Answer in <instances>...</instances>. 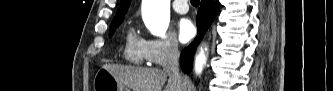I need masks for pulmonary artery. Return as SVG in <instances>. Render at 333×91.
I'll list each match as a JSON object with an SVG mask.
<instances>
[{
	"label": "pulmonary artery",
	"instance_id": "e3ab8cb5",
	"mask_svg": "<svg viewBox=\"0 0 333 91\" xmlns=\"http://www.w3.org/2000/svg\"><path fill=\"white\" fill-rule=\"evenodd\" d=\"M173 9L178 14H186L189 10L186 0H176L173 2Z\"/></svg>",
	"mask_w": 333,
	"mask_h": 91
}]
</instances>
